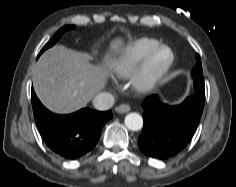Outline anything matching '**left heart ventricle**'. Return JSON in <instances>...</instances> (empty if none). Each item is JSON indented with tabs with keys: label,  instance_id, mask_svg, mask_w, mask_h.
I'll return each mask as SVG.
<instances>
[{
	"label": "left heart ventricle",
	"instance_id": "obj_1",
	"mask_svg": "<svg viewBox=\"0 0 236 187\" xmlns=\"http://www.w3.org/2000/svg\"><path fill=\"white\" fill-rule=\"evenodd\" d=\"M168 53L166 51H163L159 54L157 61L161 62L167 58Z\"/></svg>",
	"mask_w": 236,
	"mask_h": 187
}]
</instances>
